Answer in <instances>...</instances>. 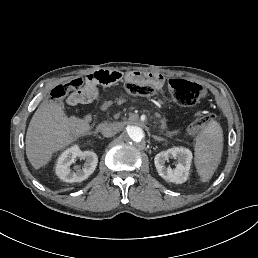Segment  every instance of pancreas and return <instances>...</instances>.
<instances>
[{
  "label": "pancreas",
  "instance_id": "cf45deb5",
  "mask_svg": "<svg viewBox=\"0 0 258 258\" xmlns=\"http://www.w3.org/2000/svg\"><path fill=\"white\" fill-rule=\"evenodd\" d=\"M160 125L161 126H166L167 125V120L166 119H161L160 120Z\"/></svg>",
  "mask_w": 258,
  "mask_h": 258
}]
</instances>
